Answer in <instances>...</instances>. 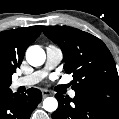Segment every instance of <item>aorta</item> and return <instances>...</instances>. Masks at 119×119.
Listing matches in <instances>:
<instances>
[{
    "instance_id": "762f6f07",
    "label": "aorta",
    "mask_w": 119,
    "mask_h": 119,
    "mask_svg": "<svg viewBox=\"0 0 119 119\" xmlns=\"http://www.w3.org/2000/svg\"><path fill=\"white\" fill-rule=\"evenodd\" d=\"M45 51L38 45L30 46L26 51L27 62L34 66H41L45 62ZM58 107V102L54 97H47L43 101V108L48 112H54Z\"/></svg>"
}]
</instances>
